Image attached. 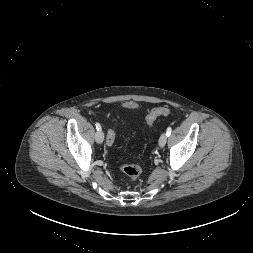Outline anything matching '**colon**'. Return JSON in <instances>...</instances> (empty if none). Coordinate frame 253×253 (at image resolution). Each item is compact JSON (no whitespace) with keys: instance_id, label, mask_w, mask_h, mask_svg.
Returning <instances> with one entry per match:
<instances>
[{"instance_id":"colon-1","label":"colon","mask_w":253,"mask_h":253,"mask_svg":"<svg viewBox=\"0 0 253 253\" xmlns=\"http://www.w3.org/2000/svg\"><path fill=\"white\" fill-rule=\"evenodd\" d=\"M170 113L171 111L168 108L164 107L154 108L150 111V113L146 117L147 124L149 126H152L159 116H166L169 115ZM114 141H115V129L112 128L107 132L106 143L108 146H112L114 144ZM120 169L127 176L128 181L131 182L138 179V177L142 173L141 168L135 164H122L120 165Z\"/></svg>"}]
</instances>
